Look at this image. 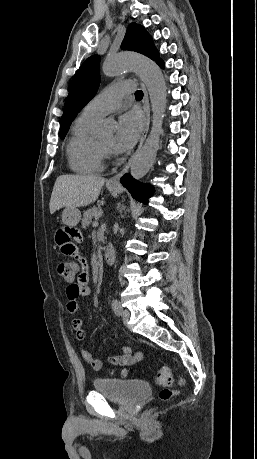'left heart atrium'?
<instances>
[{"label":"left heart atrium","mask_w":257,"mask_h":459,"mask_svg":"<svg viewBox=\"0 0 257 459\" xmlns=\"http://www.w3.org/2000/svg\"><path fill=\"white\" fill-rule=\"evenodd\" d=\"M142 128L143 120L139 113L132 111L122 115L118 121L114 149L117 152L131 149L137 142Z\"/></svg>","instance_id":"39dd6f15"}]
</instances>
